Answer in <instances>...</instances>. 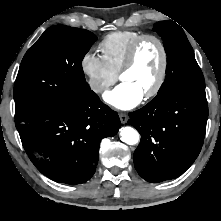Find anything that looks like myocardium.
Returning a JSON list of instances; mask_svg holds the SVG:
<instances>
[{"mask_svg":"<svg viewBox=\"0 0 221 221\" xmlns=\"http://www.w3.org/2000/svg\"><path fill=\"white\" fill-rule=\"evenodd\" d=\"M148 40L156 42L159 46L161 53V64L156 82L154 83L153 87L144 95L146 99H150L156 96L163 87L166 79L168 69V52L163 40L154 34H142L139 36L129 47L124 63L119 71V78L121 79L122 75L133 67L141 45Z\"/></svg>","mask_w":221,"mask_h":221,"instance_id":"f54148a6","label":"myocardium"}]
</instances>
